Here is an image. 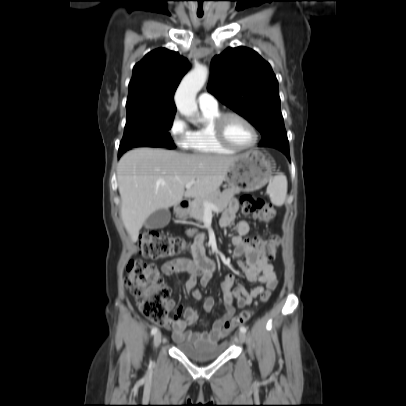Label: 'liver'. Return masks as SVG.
Returning <instances> with one entry per match:
<instances>
[{
    "instance_id": "6515ba94",
    "label": "liver",
    "mask_w": 406,
    "mask_h": 406,
    "mask_svg": "<svg viewBox=\"0 0 406 406\" xmlns=\"http://www.w3.org/2000/svg\"><path fill=\"white\" fill-rule=\"evenodd\" d=\"M239 156L186 154L154 148L125 153L117 165L121 218L132 241L147 218L179 204L183 197L216 192ZM195 183L186 189L188 182Z\"/></svg>"
}]
</instances>
